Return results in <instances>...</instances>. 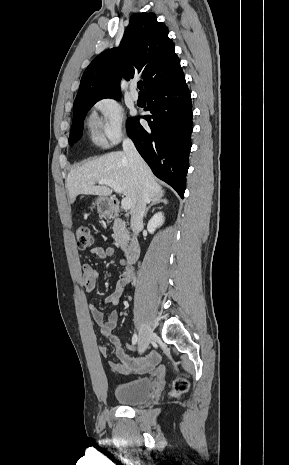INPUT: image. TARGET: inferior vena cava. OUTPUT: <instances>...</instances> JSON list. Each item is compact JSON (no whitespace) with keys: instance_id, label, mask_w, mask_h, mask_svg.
Instances as JSON below:
<instances>
[{"instance_id":"1","label":"inferior vena cava","mask_w":289,"mask_h":465,"mask_svg":"<svg viewBox=\"0 0 289 465\" xmlns=\"http://www.w3.org/2000/svg\"><path fill=\"white\" fill-rule=\"evenodd\" d=\"M123 151L128 157L131 169L134 173L138 175L139 185H138V203L135 210L131 215V228L135 234L139 233L140 228L143 225V217L146 212V205L149 202V193L146 187L144 178L142 176V171L145 167V162L138 153L133 141L130 138L123 139Z\"/></svg>"}]
</instances>
